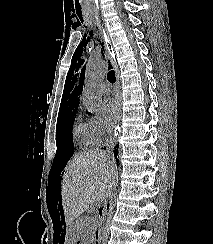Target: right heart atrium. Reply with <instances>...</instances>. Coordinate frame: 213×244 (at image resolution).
<instances>
[{"label": "right heart atrium", "instance_id": "1", "mask_svg": "<svg viewBox=\"0 0 213 244\" xmlns=\"http://www.w3.org/2000/svg\"><path fill=\"white\" fill-rule=\"evenodd\" d=\"M93 145L101 144L108 133L102 118L99 115H93L87 118L85 123Z\"/></svg>", "mask_w": 213, "mask_h": 244}]
</instances>
